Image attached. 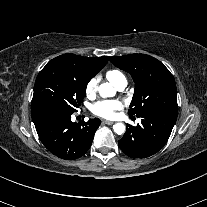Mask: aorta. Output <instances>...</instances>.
<instances>
[{
	"label": "aorta",
	"instance_id": "762f6f07",
	"mask_svg": "<svg viewBox=\"0 0 207 207\" xmlns=\"http://www.w3.org/2000/svg\"><path fill=\"white\" fill-rule=\"evenodd\" d=\"M101 97H113L115 89L109 83H102L98 88ZM114 132L121 135L125 132V125L123 123H116L113 125Z\"/></svg>",
	"mask_w": 207,
	"mask_h": 207
}]
</instances>
